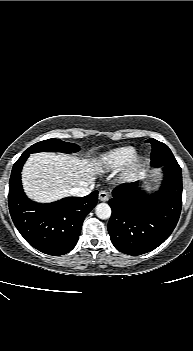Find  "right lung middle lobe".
Instances as JSON below:
<instances>
[{"instance_id":"right-lung-middle-lobe-1","label":"right lung middle lobe","mask_w":193,"mask_h":351,"mask_svg":"<svg viewBox=\"0 0 193 351\" xmlns=\"http://www.w3.org/2000/svg\"><path fill=\"white\" fill-rule=\"evenodd\" d=\"M80 148L74 143L64 142L60 139H48L35 143L29 147L23 154H32L36 152H77Z\"/></svg>"}]
</instances>
